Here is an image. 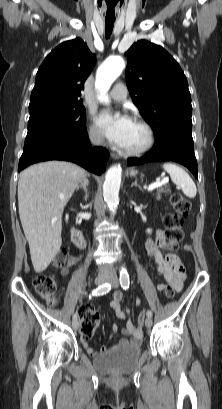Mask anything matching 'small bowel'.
Masks as SVG:
<instances>
[{
    "label": "small bowel",
    "mask_w": 222,
    "mask_h": 409,
    "mask_svg": "<svg viewBox=\"0 0 222 409\" xmlns=\"http://www.w3.org/2000/svg\"><path fill=\"white\" fill-rule=\"evenodd\" d=\"M166 241L164 232L158 230L154 238H148L146 241V253L152 257L157 265L158 271L162 274L165 282L159 283L157 289L163 291L167 286L172 287L175 292H180L182 289L183 280L185 278V262L182 256H169L168 260L162 254L161 249L165 247ZM79 262V257L72 256L69 258L67 265L62 269V274L67 275L69 269ZM123 294L120 291H115L110 299L109 305L114 310L118 319L125 321L122 328L114 324L112 326V334L122 333L126 338H121L117 345L139 344L142 340V331L130 321V312L128 309H123L121 306ZM141 300L137 299V305H140ZM84 340V339H83ZM84 346L90 356H96L97 352L88 346L84 341ZM109 350L107 346H102L101 354Z\"/></svg>",
    "instance_id": "c3829d8e"
}]
</instances>
